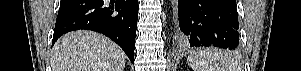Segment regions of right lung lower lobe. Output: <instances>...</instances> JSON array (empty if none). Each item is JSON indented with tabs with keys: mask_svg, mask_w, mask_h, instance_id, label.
<instances>
[{
	"mask_svg": "<svg viewBox=\"0 0 301 71\" xmlns=\"http://www.w3.org/2000/svg\"><path fill=\"white\" fill-rule=\"evenodd\" d=\"M138 0H61L53 44L79 29L102 33L116 42L134 63Z\"/></svg>",
	"mask_w": 301,
	"mask_h": 71,
	"instance_id": "1",
	"label": "right lung lower lobe"
}]
</instances>
